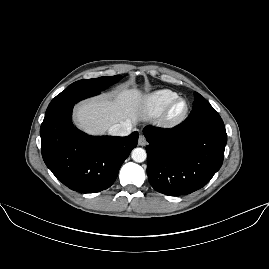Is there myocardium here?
Listing matches in <instances>:
<instances>
[{
	"instance_id": "obj_1",
	"label": "myocardium",
	"mask_w": 269,
	"mask_h": 269,
	"mask_svg": "<svg viewBox=\"0 0 269 269\" xmlns=\"http://www.w3.org/2000/svg\"><path fill=\"white\" fill-rule=\"evenodd\" d=\"M183 102V108L180 111L176 110L177 105ZM188 112V103L183 98H176L173 100L166 109L162 120L167 126H175L179 124L186 116Z\"/></svg>"
}]
</instances>
